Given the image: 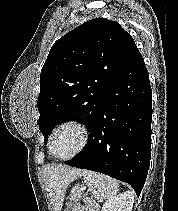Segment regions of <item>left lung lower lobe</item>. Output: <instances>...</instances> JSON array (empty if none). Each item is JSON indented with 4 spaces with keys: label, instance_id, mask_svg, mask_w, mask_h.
I'll list each match as a JSON object with an SVG mask.
<instances>
[{
    "label": "left lung lower lobe",
    "instance_id": "1",
    "mask_svg": "<svg viewBox=\"0 0 178 211\" xmlns=\"http://www.w3.org/2000/svg\"><path fill=\"white\" fill-rule=\"evenodd\" d=\"M152 90L138 49L116 76L89 133L66 164L128 182L140 195L151 157Z\"/></svg>",
    "mask_w": 178,
    "mask_h": 211
}]
</instances>
